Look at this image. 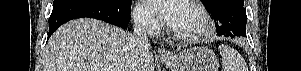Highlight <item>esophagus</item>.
<instances>
[{
  "instance_id": "esophagus-1",
  "label": "esophagus",
  "mask_w": 301,
  "mask_h": 71,
  "mask_svg": "<svg viewBox=\"0 0 301 71\" xmlns=\"http://www.w3.org/2000/svg\"><path fill=\"white\" fill-rule=\"evenodd\" d=\"M158 55L161 57V58H169L170 57V53L165 50L164 48H159L158 49Z\"/></svg>"
}]
</instances>
